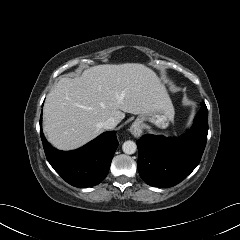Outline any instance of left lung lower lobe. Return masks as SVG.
<instances>
[{"label": "left lung lower lobe", "instance_id": "obj_1", "mask_svg": "<svg viewBox=\"0 0 240 240\" xmlns=\"http://www.w3.org/2000/svg\"><path fill=\"white\" fill-rule=\"evenodd\" d=\"M208 133V110L203 102L194 125L179 138L145 134L137 141L138 171L151 186L172 187L199 164Z\"/></svg>", "mask_w": 240, "mask_h": 240}]
</instances>
